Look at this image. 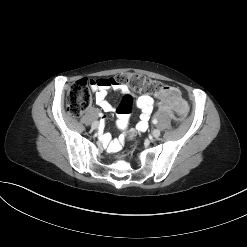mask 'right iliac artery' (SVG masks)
<instances>
[{
    "mask_svg": "<svg viewBox=\"0 0 247 247\" xmlns=\"http://www.w3.org/2000/svg\"><path fill=\"white\" fill-rule=\"evenodd\" d=\"M99 116L102 117L103 116L102 113H100Z\"/></svg>",
    "mask_w": 247,
    "mask_h": 247,
    "instance_id": "82829eb1",
    "label": "right iliac artery"
}]
</instances>
